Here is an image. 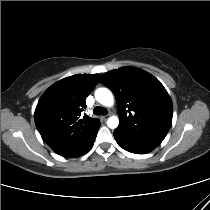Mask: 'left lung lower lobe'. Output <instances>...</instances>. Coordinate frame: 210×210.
I'll return each mask as SVG.
<instances>
[{"label": "left lung lower lobe", "instance_id": "obj_1", "mask_svg": "<svg viewBox=\"0 0 210 210\" xmlns=\"http://www.w3.org/2000/svg\"><path fill=\"white\" fill-rule=\"evenodd\" d=\"M114 137L120 147H122L123 149H125L126 151H129L131 153L145 154V153H148L156 148V146H153V145H146V144H140V143L127 141V140L119 138L115 135H114Z\"/></svg>", "mask_w": 210, "mask_h": 210}]
</instances>
